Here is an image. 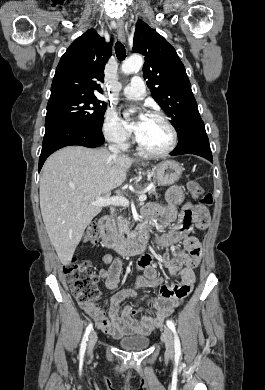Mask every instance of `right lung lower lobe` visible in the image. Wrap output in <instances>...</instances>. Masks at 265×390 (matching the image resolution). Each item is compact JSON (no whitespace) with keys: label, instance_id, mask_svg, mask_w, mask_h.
Here are the masks:
<instances>
[{"label":"right lung lower lobe","instance_id":"1","mask_svg":"<svg viewBox=\"0 0 265 390\" xmlns=\"http://www.w3.org/2000/svg\"><path fill=\"white\" fill-rule=\"evenodd\" d=\"M104 141L102 129H93L73 120H46L39 171L47 157L60 148L70 145L94 148L102 145Z\"/></svg>","mask_w":265,"mask_h":390}]
</instances>
